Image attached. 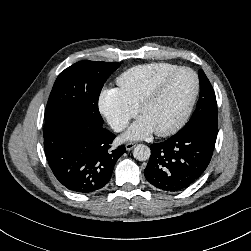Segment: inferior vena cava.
<instances>
[{
  "label": "inferior vena cava",
  "mask_w": 251,
  "mask_h": 251,
  "mask_svg": "<svg viewBox=\"0 0 251 251\" xmlns=\"http://www.w3.org/2000/svg\"><path fill=\"white\" fill-rule=\"evenodd\" d=\"M111 127L114 131L120 132L127 127V122L122 120L115 121L111 124Z\"/></svg>",
  "instance_id": "1"
}]
</instances>
